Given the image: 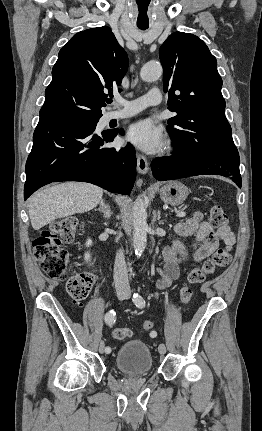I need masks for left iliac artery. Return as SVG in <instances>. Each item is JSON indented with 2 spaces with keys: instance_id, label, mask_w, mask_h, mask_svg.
Instances as JSON below:
<instances>
[{
  "instance_id": "1",
  "label": "left iliac artery",
  "mask_w": 262,
  "mask_h": 431,
  "mask_svg": "<svg viewBox=\"0 0 262 431\" xmlns=\"http://www.w3.org/2000/svg\"><path fill=\"white\" fill-rule=\"evenodd\" d=\"M133 302L138 308H143L145 306V300L139 293H134Z\"/></svg>"
}]
</instances>
